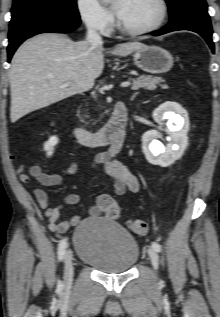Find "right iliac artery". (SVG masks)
<instances>
[{
    "mask_svg": "<svg viewBox=\"0 0 220 317\" xmlns=\"http://www.w3.org/2000/svg\"><path fill=\"white\" fill-rule=\"evenodd\" d=\"M66 247H67V240L64 239L61 241V243L59 244V247H58V259H59V261L63 260Z\"/></svg>",
    "mask_w": 220,
    "mask_h": 317,
    "instance_id": "1",
    "label": "right iliac artery"
}]
</instances>
